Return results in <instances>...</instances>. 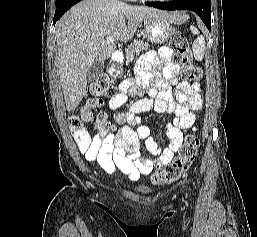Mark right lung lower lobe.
Returning a JSON list of instances; mask_svg holds the SVG:
<instances>
[{"instance_id": "98d812e1", "label": "right lung lower lobe", "mask_w": 257, "mask_h": 237, "mask_svg": "<svg viewBox=\"0 0 257 237\" xmlns=\"http://www.w3.org/2000/svg\"><path fill=\"white\" fill-rule=\"evenodd\" d=\"M79 1L81 0H64L56 4V11L53 19V24L55 25L56 21L59 20L68 9H70Z\"/></svg>"}]
</instances>
